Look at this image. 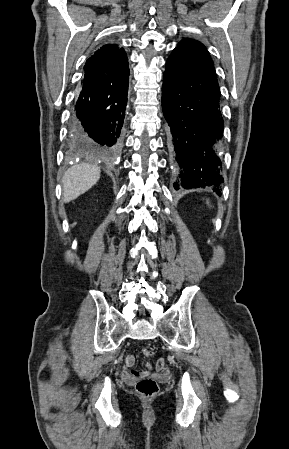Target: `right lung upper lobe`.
<instances>
[{"mask_svg":"<svg viewBox=\"0 0 289 449\" xmlns=\"http://www.w3.org/2000/svg\"><path fill=\"white\" fill-rule=\"evenodd\" d=\"M127 60L123 48L119 49L115 44H107L87 60L84 70L86 73L93 74L107 73L128 64Z\"/></svg>","mask_w":289,"mask_h":449,"instance_id":"obj_1","label":"right lung upper lobe"}]
</instances>
